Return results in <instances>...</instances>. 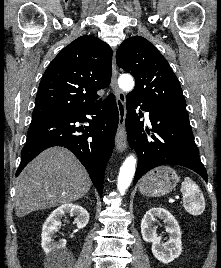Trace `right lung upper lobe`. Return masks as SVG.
<instances>
[{"label": "right lung upper lobe", "instance_id": "1", "mask_svg": "<svg viewBox=\"0 0 221 268\" xmlns=\"http://www.w3.org/2000/svg\"><path fill=\"white\" fill-rule=\"evenodd\" d=\"M112 51L102 40L81 36L46 69L35 99L32 119L71 114L98 103L97 91L111 80Z\"/></svg>", "mask_w": 221, "mask_h": 268}]
</instances>
